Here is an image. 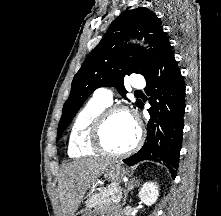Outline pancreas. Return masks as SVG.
I'll list each match as a JSON object with an SVG mask.
<instances>
[{
  "label": "pancreas",
  "instance_id": "pancreas-1",
  "mask_svg": "<svg viewBox=\"0 0 221 216\" xmlns=\"http://www.w3.org/2000/svg\"><path fill=\"white\" fill-rule=\"evenodd\" d=\"M122 198V189L117 183L111 184L108 188L101 189L99 193L93 195L87 205L89 207L108 206L111 204H117Z\"/></svg>",
  "mask_w": 221,
  "mask_h": 216
}]
</instances>
